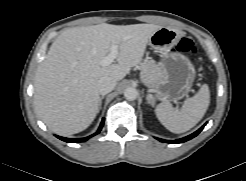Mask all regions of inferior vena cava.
I'll use <instances>...</instances> for the list:
<instances>
[{
    "label": "inferior vena cava",
    "instance_id": "obj_1",
    "mask_svg": "<svg viewBox=\"0 0 246 181\" xmlns=\"http://www.w3.org/2000/svg\"><path fill=\"white\" fill-rule=\"evenodd\" d=\"M116 86V80L109 76H103L98 80L97 89L102 95L111 92Z\"/></svg>",
    "mask_w": 246,
    "mask_h": 181
}]
</instances>
